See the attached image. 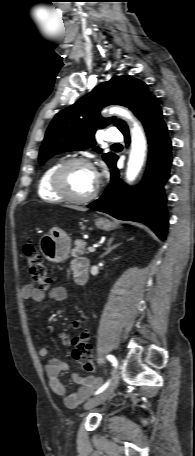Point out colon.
<instances>
[{
    "mask_svg": "<svg viewBox=\"0 0 195 456\" xmlns=\"http://www.w3.org/2000/svg\"><path fill=\"white\" fill-rule=\"evenodd\" d=\"M23 249L33 283L42 291L48 290L51 280L41 254L31 243L25 244ZM72 325L76 329L80 328V323L78 321H74ZM73 345L74 349L72 355L74 360L80 364L84 371L93 372L95 370L93 348L89 341L88 333L86 331H81L77 334L73 338Z\"/></svg>",
    "mask_w": 195,
    "mask_h": 456,
    "instance_id": "colon-1",
    "label": "colon"
}]
</instances>
